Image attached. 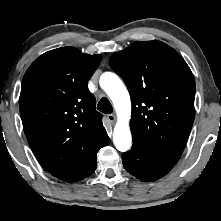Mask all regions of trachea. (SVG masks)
<instances>
[{
	"label": "trachea",
	"mask_w": 221,
	"mask_h": 221,
	"mask_svg": "<svg viewBox=\"0 0 221 221\" xmlns=\"http://www.w3.org/2000/svg\"><path fill=\"white\" fill-rule=\"evenodd\" d=\"M97 109L102 112V113H106V114H109V113H112L113 112V108H112V105L110 103V101L107 99V98H102L99 103H98V106H97Z\"/></svg>",
	"instance_id": "3493384b"
}]
</instances>
